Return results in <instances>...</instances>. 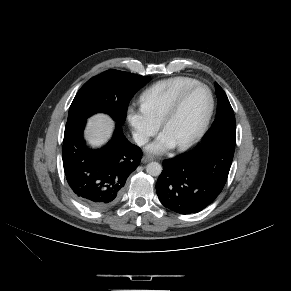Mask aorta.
I'll list each match as a JSON object with an SVG mask.
<instances>
[{
  "instance_id": "762f6f07",
  "label": "aorta",
  "mask_w": 291,
  "mask_h": 291,
  "mask_svg": "<svg viewBox=\"0 0 291 291\" xmlns=\"http://www.w3.org/2000/svg\"><path fill=\"white\" fill-rule=\"evenodd\" d=\"M146 171L151 176H159L162 172V166L158 162H150L146 166Z\"/></svg>"
}]
</instances>
